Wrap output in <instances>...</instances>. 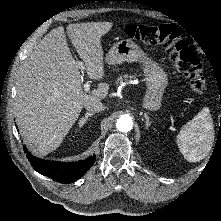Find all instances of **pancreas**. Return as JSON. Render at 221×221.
<instances>
[{
	"label": "pancreas",
	"mask_w": 221,
	"mask_h": 221,
	"mask_svg": "<svg viewBox=\"0 0 221 221\" xmlns=\"http://www.w3.org/2000/svg\"><path fill=\"white\" fill-rule=\"evenodd\" d=\"M125 79L128 78V75H124L123 76ZM123 77H119L116 81V84L122 83L123 82ZM130 78H133V76H130Z\"/></svg>",
	"instance_id": "1"
}]
</instances>
